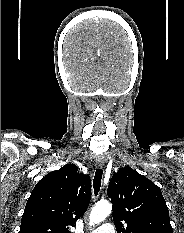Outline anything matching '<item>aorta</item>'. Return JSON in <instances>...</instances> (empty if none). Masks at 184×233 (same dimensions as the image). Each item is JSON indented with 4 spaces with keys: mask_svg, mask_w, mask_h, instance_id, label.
<instances>
[{
    "mask_svg": "<svg viewBox=\"0 0 184 233\" xmlns=\"http://www.w3.org/2000/svg\"><path fill=\"white\" fill-rule=\"evenodd\" d=\"M112 211V205L107 201L98 202L91 210L90 225H94L105 220Z\"/></svg>",
    "mask_w": 184,
    "mask_h": 233,
    "instance_id": "1",
    "label": "aorta"
}]
</instances>
